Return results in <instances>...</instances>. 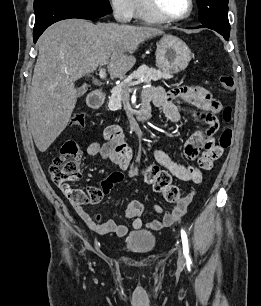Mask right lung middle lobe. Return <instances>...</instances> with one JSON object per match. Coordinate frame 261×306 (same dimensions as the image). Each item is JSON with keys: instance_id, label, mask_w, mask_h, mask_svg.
Segmentation results:
<instances>
[{"instance_id": "obj_1", "label": "right lung middle lobe", "mask_w": 261, "mask_h": 306, "mask_svg": "<svg viewBox=\"0 0 261 306\" xmlns=\"http://www.w3.org/2000/svg\"><path fill=\"white\" fill-rule=\"evenodd\" d=\"M34 1L66 3V4L86 6V7H91L95 9H100L106 12H112L109 0H34Z\"/></svg>"}]
</instances>
